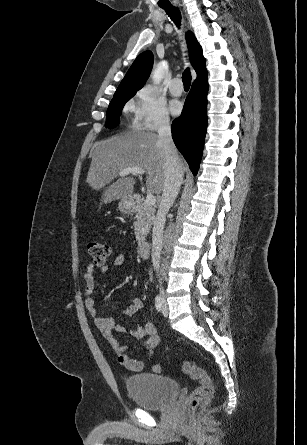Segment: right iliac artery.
Masks as SVG:
<instances>
[{"label": "right iliac artery", "instance_id": "82829eb1", "mask_svg": "<svg viewBox=\"0 0 307 445\" xmlns=\"http://www.w3.org/2000/svg\"><path fill=\"white\" fill-rule=\"evenodd\" d=\"M162 306H163V301H162V297L160 295H157L155 298V307L156 310L158 312H160L162 310Z\"/></svg>", "mask_w": 307, "mask_h": 445}]
</instances>
